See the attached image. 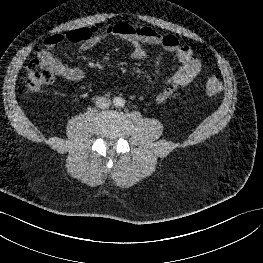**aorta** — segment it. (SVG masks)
I'll list each match as a JSON object with an SVG mask.
<instances>
[{
  "mask_svg": "<svg viewBox=\"0 0 263 263\" xmlns=\"http://www.w3.org/2000/svg\"><path fill=\"white\" fill-rule=\"evenodd\" d=\"M113 103L116 107H123L125 105V100L120 97H116L113 100Z\"/></svg>",
  "mask_w": 263,
  "mask_h": 263,
  "instance_id": "obj_1",
  "label": "aorta"
}]
</instances>
